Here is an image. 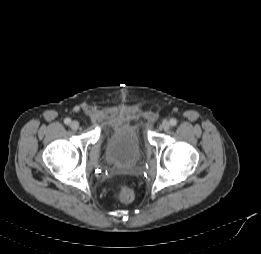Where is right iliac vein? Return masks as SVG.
Returning a JSON list of instances; mask_svg holds the SVG:
<instances>
[{"label": "right iliac vein", "mask_w": 261, "mask_h": 254, "mask_svg": "<svg viewBox=\"0 0 261 254\" xmlns=\"http://www.w3.org/2000/svg\"><path fill=\"white\" fill-rule=\"evenodd\" d=\"M70 127L72 130H77L79 128V122L74 120L70 123Z\"/></svg>", "instance_id": "1"}]
</instances>
